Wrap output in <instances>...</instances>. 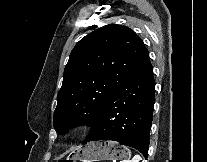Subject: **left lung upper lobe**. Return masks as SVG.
<instances>
[{
	"label": "left lung upper lobe",
	"instance_id": "obj_1",
	"mask_svg": "<svg viewBox=\"0 0 207 162\" xmlns=\"http://www.w3.org/2000/svg\"><path fill=\"white\" fill-rule=\"evenodd\" d=\"M148 54L129 27L109 24L83 37L72 50L57 95L54 128L92 125L109 97Z\"/></svg>",
	"mask_w": 207,
	"mask_h": 162
}]
</instances>
